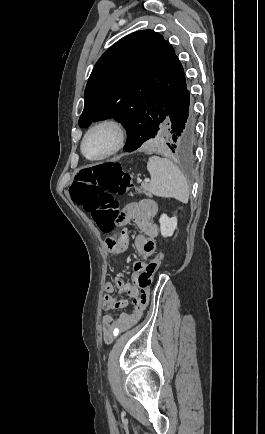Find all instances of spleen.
I'll return each instance as SVG.
<instances>
[{
    "instance_id": "3e777b00",
    "label": "spleen",
    "mask_w": 265,
    "mask_h": 434,
    "mask_svg": "<svg viewBox=\"0 0 265 434\" xmlns=\"http://www.w3.org/2000/svg\"><path fill=\"white\" fill-rule=\"evenodd\" d=\"M147 170L151 176L149 190L153 196L175 198L183 204L189 200L188 184L179 168L167 160L152 156L149 158Z\"/></svg>"
}]
</instances>
